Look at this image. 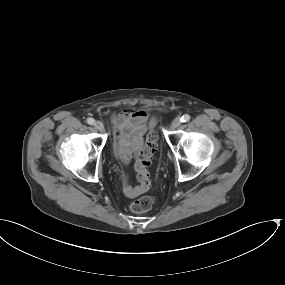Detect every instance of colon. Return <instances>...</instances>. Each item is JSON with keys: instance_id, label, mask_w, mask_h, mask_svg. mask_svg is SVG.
Segmentation results:
<instances>
[{"instance_id": "5ec220e1", "label": "colon", "mask_w": 285, "mask_h": 285, "mask_svg": "<svg viewBox=\"0 0 285 285\" xmlns=\"http://www.w3.org/2000/svg\"><path fill=\"white\" fill-rule=\"evenodd\" d=\"M157 149V135L154 131L146 134L142 157L136 162V176L139 182V188L146 191L150 186V176L148 167L151 164L152 157ZM155 200L152 196H143L133 201L129 209L133 213L141 214L151 210Z\"/></svg>"}]
</instances>
